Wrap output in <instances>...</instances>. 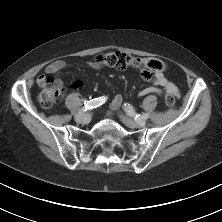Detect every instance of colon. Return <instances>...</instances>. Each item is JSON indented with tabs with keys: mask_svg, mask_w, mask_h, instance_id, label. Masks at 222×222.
<instances>
[{
	"mask_svg": "<svg viewBox=\"0 0 222 222\" xmlns=\"http://www.w3.org/2000/svg\"><path fill=\"white\" fill-rule=\"evenodd\" d=\"M95 63L100 67L107 66L119 70H125L127 68L140 70L145 68L154 73L162 72L165 69L164 63L159 59L136 58L117 51L99 54L95 58ZM40 86L42 90L38 96L39 104L44 109H51L64 90L63 84L53 76H43L40 81ZM165 102L169 107H173L175 103L174 96L167 91H165Z\"/></svg>",
	"mask_w": 222,
	"mask_h": 222,
	"instance_id": "obj_1",
	"label": "colon"
}]
</instances>
